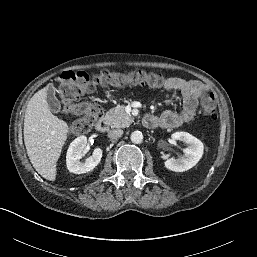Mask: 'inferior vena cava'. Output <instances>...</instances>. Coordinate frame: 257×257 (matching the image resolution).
I'll list each match as a JSON object with an SVG mask.
<instances>
[{
  "mask_svg": "<svg viewBox=\"0 0 257 257\" xmlns=\"http://www.w3.org/2000/svg\"><path fill=\"white\" fill-rule=\"evenodd\" d=\"M123 134V131L121 129H114L108 131V137L111 139H119Z\"/></svg>",
  "mask_w": 257,
  "mask_h": 257,
  "instance_id": "obj_1",
  "label": "inferior vena cava"
}]
</instances>
